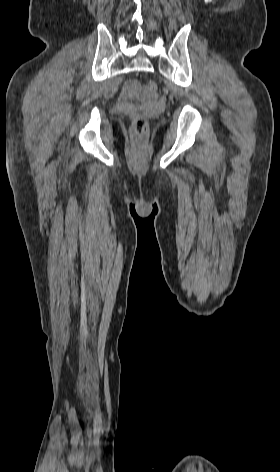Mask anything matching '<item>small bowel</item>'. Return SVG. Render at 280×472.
I'll use <instances>...</instances> for the list:
<instances>
[{"instance_id": "c3829d8e", "label": "small bowel", "mask_w": 280, "mask_h": 472, "mask_svg": "<svg viewBox=\"0 0 280 472\" xmlns=\"http://www.w3.org/2000/svg\"><path fill=\"white\" fill-rule=\"evenodd\" d=\"M140 90V86L137 82L135 81H130L128 82L126 85H125V88H124V92L127 94V95H130V94H133L137 91Z\"/></svg>"}]
</instances>
